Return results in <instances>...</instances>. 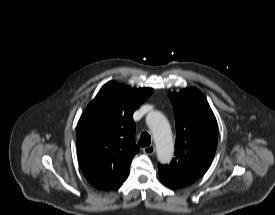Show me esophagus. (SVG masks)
<instances>
[{"mask_svg":"<svg viewBox=\"0 0 275 215\" xmlns=\"http://www.w3.org/2000/svg\"><path fill=\"white\" fill-rule=\"evenodd\" d=\"M143 152L147 155H153L155 153V147L153 145L144 147Z\"/></svg>","mask_w":275,"mask_h":215,"instance_id":"esophagus-1","label":"esophagus"}]
</instances>
